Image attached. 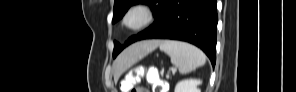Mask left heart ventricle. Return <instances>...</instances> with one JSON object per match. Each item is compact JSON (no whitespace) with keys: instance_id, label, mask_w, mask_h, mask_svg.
<instances>
[{"instance_id":"obj_1","label":"left heart ventricle","mask_w":296,"mask_h":92,"mask_svg":"<svg viewBox=\"0 0 296 92\" xmlns=\"http://www.w3.org/2000/svg\"><path fill=\"white\" fill-rule=\"evenodd\" d=\"M140 20H141V15L139 13H135L129 18V23L134 25V24H137Z\"/></svg>"}]
</instances>
